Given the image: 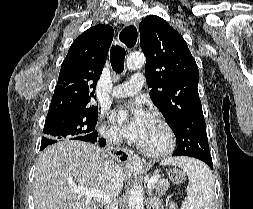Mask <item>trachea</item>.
I'll list each match as a JSON object with an SVG mask.
<instances>
[{"instance_id":"trachea-1","label":"trachea","mask_w":253,"mask_h":209,"mask_svg":"<svg viewBox=\"0 0 253 209\" xmlns=\"http://www.w3.org/2000/svg\"><path fill=\"white\" fill-rule=\"evenodd\" d=\"M125 55H126V52H125V49L123 47H121L119 45L111 47L110 62H111L112 69L116 73L123 72Z\"/></svg>"}]
</instances>
